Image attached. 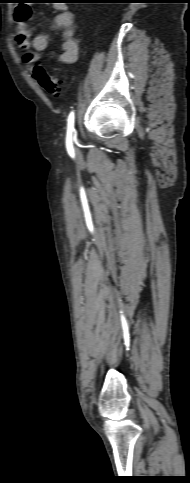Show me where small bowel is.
I'll return each mask as SVG.
<instances>
[{"mask_svg": "<svg viewBox=\"0 0 190 483\" xmlns=\"http://www.w3.org/2000/svg\"><path fill=\"white\" fill-rule=\"evenodd\" d=\"M23 14L24 18L19 19L18 15ZM31 14V7L26 3L19 4L14 12L17 22V31L15 34V43L22 52L24 63L31 67L36 64L41 56V52L48 50V36L40 33L33 35L32 29L27 25L26 21ZM53 26L61 30V46L58 52L50 53L60 63L72 64L78 58V43L75 39L76 26L74 24V15L71 11L61 8L53 19Z\"/></svg>", "mask_w": 190, "mask_h": 483, "instance_id": "small-bowel-1", "label": "small bowel"}]
</instances>
